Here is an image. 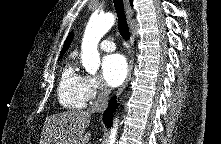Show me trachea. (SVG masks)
Returning <instances> with one entry per match:
<instances>
[{"mask_svg": "<svg viewBox=\"0 0 221 144\" xmlns=\"http://www.w3.org/2000/svg\"><path fill=\"white\" fill-rule=\"evenodd\" d=\"M118 17V29L125 41L130 39V32L124 12L123 0H113Z\"/></svg>", "mask_w": 221, "mask_h": 144, "instance_id": "obj_1", "label": "trachea"}]
</instances>
